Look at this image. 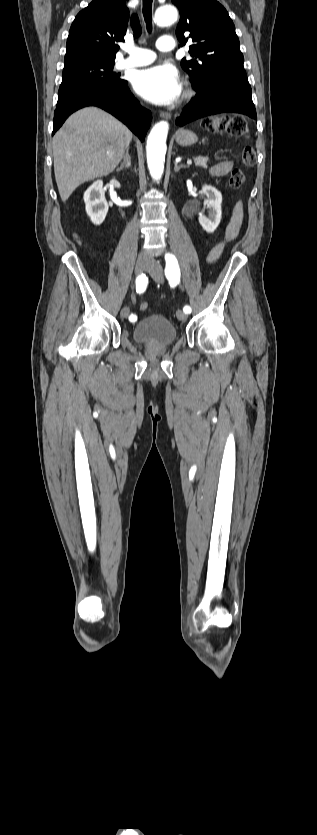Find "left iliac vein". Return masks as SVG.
<instances>
[{
	"label": "left iliac vein",
	"mask_w": 317,
	"mask_h": 835,
	"mask_svg": "<svg viewBox=\"0 0 317 835\" xmlns=\"http://www.w3.org/2000/svg\"><path fill=\"white\" fill-rule=\"evenodd\" d=\"M146 270L156 282L163 283V268L157 260H155L154 258L149 259ZM176 315L180 321H185L187 319V314L182 310H178Z\"/></svg>",
	"instance_id": "obj_1"
}]
</instances>
